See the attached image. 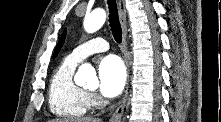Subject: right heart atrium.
Returning <instances> with one entry per match:
<instances>
[{
	"label": "right heart atrium",
	"instance_id": "obj_1",
	"mask_svg": "<svg viewBox=\"0 0 221 122\" xmlns=\"http://www.w3.org/2000/svg\"><path fill=\"white\" fill-rule=\"evenodd\" d=\"M92 104H96L98 103V99L96 98V96L92 95V94H88Z\"/></svg>",
	"mask_w": 221,
	"mask_h": 122
}]
</instances>
